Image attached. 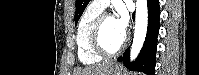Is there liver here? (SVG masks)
Instances as JSON below:
<instances>
[{
  "label": "liver",
  "mask_w": 199,
  "mask_h": 75,
  "mask_svg": "<svg viewBox=\"0 0 199 75\" xmlns=\"http://www.w3.org/2000/svg\"><path fill=\"white\" fill-rule=\"evenodd\" d=\"M111 64L89 66L83 69H78L74 75H108Z\"/></svg>",
  "instance_id": "liver-1"
}]
</instances>
